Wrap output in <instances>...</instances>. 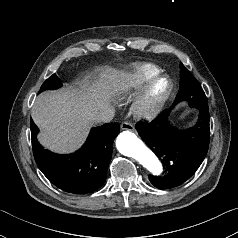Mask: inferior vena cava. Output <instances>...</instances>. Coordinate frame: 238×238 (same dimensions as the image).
<instances>
[{
	"label": "inferior vena cava",
	"mask_w": 238,
	"mask_h": 238,
	"mask_svg": "<svg viewBox=\"0 0 238 238\" xmlns=\"http://www.w3.org/2000/svg\"><path fill=\"white\" fill-rule=\"evenodd\" d=\"M114 117V109L106 108L94 116L96 123L103 124L111 122Z\"/></svg>",
	"instance_id": "inferior-vena-cava-1"
}]
</instances>
